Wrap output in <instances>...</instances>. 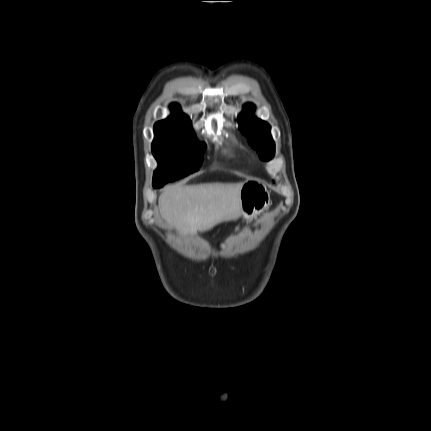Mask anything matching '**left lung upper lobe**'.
Here are the masks:
<instances>
[{"instance_id":"left-lung-upper-lobe-1","label":"left lung upper lobe","mask_w":431,"mask_h":431,"mask_svg":"<svg viewBox=\"0 0 431 431\" xmlns=\"http://www.w3.org/2000/svg\"><path fill=\"white\" fill-rule=\"evenodd\" d=\"M243 108L244 112L238 117L241 132L247 136L252 147L260 152L262 160H270L275 153V144L270 135V125L252 114L255 110L253 104L247 103Z\"/></svg>"}]
</instances>
